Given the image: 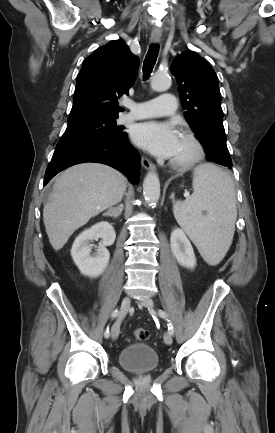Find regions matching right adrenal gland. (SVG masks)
<instances>
[{
    "label": "right adrenal gland",
    "mask_w": 275,
    "mask_h": 433,
    "mask_svg": "<svg viewBox=\"0 0 275 433\" xmlns=\"http://www.w3.org/2000/svg\"><path fill=\"white\" fill-rule=\"evenodd\" d=\"M123 208V204H120L118 207H110L109 210L103 214V216L118 218L123 212Z\"/></svg>",
    "instance_id": "obj_1"
}]
</instances>
